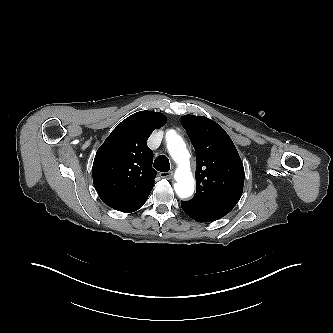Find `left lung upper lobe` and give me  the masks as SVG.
<instances>
[{"label":"left lung upper lobe","instance_id":"5c2ea615","mask_svg":"<svg viewBox=\"0 0 333 333\" xmlns=\"http://www.w3.org/2000/svg\"><path fill=\"white\" fill-rule=\"evenodd\" d=\"M181 123L196 150V194L189 202L225 216L243 192L240 156L229 135L213 120L184 115Z\"/></svg>","mask_w":333,"mask_h":333}]
</instances>
